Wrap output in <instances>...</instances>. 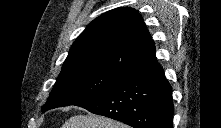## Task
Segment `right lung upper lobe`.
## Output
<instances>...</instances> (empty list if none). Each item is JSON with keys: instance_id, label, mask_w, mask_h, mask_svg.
<instances>
[{"instance_id": "cb5924a9", "label": "right lung upper lobe", "mask_w": 221, "mask_h": 128, "mask_svg": "<svg viewBox=\"0 0 221 128\" xmlns=\"http://www.w3.org/2000/svg\"><path fill=\"white\" fill-rule=\"evenodd\" d=\"M155 59V45L140 14L120 7L86 27L73 43L62 71L92 67L126 76Z\"/></svg>"}]
</instances>
